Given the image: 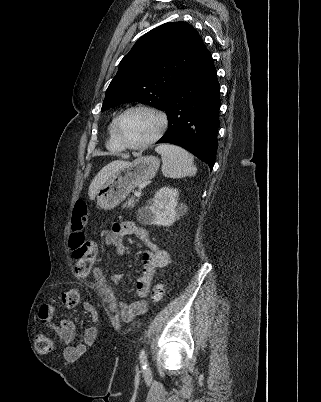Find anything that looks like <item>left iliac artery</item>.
I'll return each instance as SVG.
<instances>
[{
	"mask_svg": "<svg viewBox=\"0 0 321 402\" xmlns=\"http://www.w3.org/2000/svg\"><path fill=\"white\" fill-rule=\"evenodd\" d=\"M139 358H140V362H141L142 366L147 367V365H148L147 354H146V350L144 348L140 351Z\"/></svg>",
	"mask_w": 321,
	"mask_h": 402,
	"instance_id": "44dca946",
	"label": "left iliac artery"
}]
</instances>
